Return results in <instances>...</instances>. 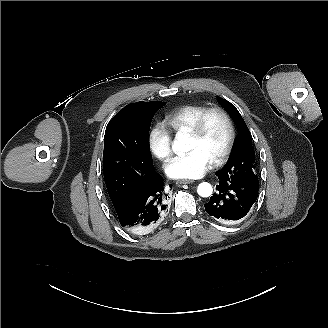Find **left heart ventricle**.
<instances>
[{
  "label": "left heart ventricle",
  "instance_id": "obj_1",
  "mask_svg": "<svg viewBox=\"0 0 328 328\" xmlns=\"http://www.w3.org/2000/svg\"><path fill=\"white\" fill-rule=\"evenodd\" d=\"M229 138V127L226 121L218 116H211L199 137L189 135L187 150H200L213 162L224 151Z\"/></svg>",
  "mask_w": 328,
  "mask_h": 328
}]
</instances>
